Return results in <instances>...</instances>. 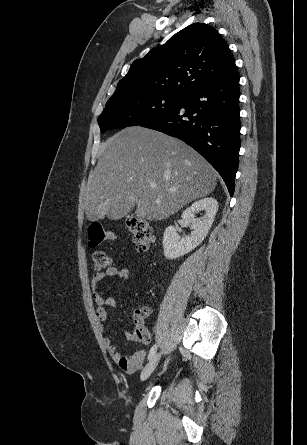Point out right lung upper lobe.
<instances>
[{
	"label": "right lung upper lobe",
	"mask_w": 307,
	"mask_h": 445,
	"mask_svg": "<svg viewBox=\"0 0 307 445\" xmlns=\"http://www.w3.org/2000/svg\"><path fill=\"white\" fill-rule=\"evenodd\" d=\"M235 67L234 57L211 26L194 23L131 65L112 97L166 94L185 96Z\"/></svg>",
	"instance_id": "obj_1"
}]
</instances>
